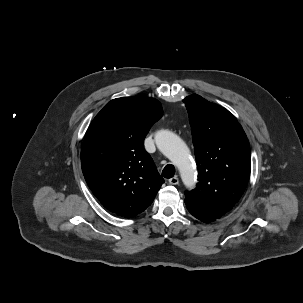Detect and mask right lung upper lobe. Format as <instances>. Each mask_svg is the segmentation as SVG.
Segmentation results:
<instances>
[{
	"instance_id": "cb5924a9",
	"label": "right lung upper lobe",
	"mask_w": 303,
	"mask_h": 303,
	"mask_svg": "<svg viewBox=\"0 0 303 303\" xmlns=\"http://www.w3.org/2000/svg\"><path fill=\"white\" fill-rule=\"evenodd\" d=\"M162 117L154 98L134 96L111 100L85 134L81 165L86 182L101 204L131 218L143 212L164 183L144 138Z\"/></svg>"
}]
</instances>
